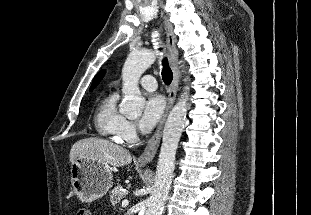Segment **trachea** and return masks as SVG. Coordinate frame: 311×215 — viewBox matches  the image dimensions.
<instances>
[{
	"label": "trachea",
	"instance_id": "3493384b",
	"mask_svg": "<svg viewBox=\"0 0 311 215\" xmlns=\"http://www.w3.org/2000/svg\"><path fill=\"white\" fill-rule=\"evenodd\" d=\"M159 50H162V48H159ZM162 79L164 81V83L166 85H169L171 82H172V79H173V73H172V70L171 68L169 67V63H168V59L167 57H164L162 59Z\"/></svg>",
	"mask_w": 311,
	"mask_h": 215
}]
</instances>
